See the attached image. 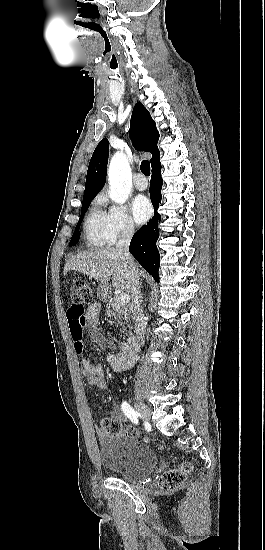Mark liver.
<instances>
[{"label":"liver","instance_id":"liver-1","mask_svg":"<svg viewBox=\"0 0 265 550\" xmlns=\"http://www.w3.org/2000/svg\"><path fill=\"white\" fill-rule=\"evenodd\" d=\"M135 265L138 270V265L136 263ZM70 270L81 272L100 281L102 290L107 289L108 281L112 277V284L116 290L131 292L128 265L115 248L79 253L67 260L64 274Z\"/></svg>","mask_w":265,"mask_h":550}]
</instances>
